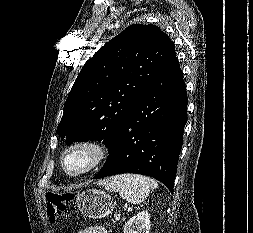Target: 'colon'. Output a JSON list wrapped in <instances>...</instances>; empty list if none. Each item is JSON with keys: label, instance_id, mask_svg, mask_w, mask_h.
<instances>
[{"label": "colon", "instance_id": "5ec220e1", "mask_svg": "<svg viewBox=\"0 0 253 233\" xmlns=\"http://www.w3.org/2000/svg\"><path fill=\"white\" fill-rule=\"evenodd\" d=\"M74 199L72 193L48 192L46 196V208L49 217L54 220L62 216Z\"/></svg>", "mask_w": 253, "mask_h": 233}]
</instances>
